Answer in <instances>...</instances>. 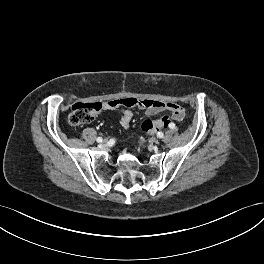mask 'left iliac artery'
Returning <instances> with one entry per match:
<instances>
[{
  "label": "left iliac artery",
  "mask_w": 264,
  "mask_h": 264,
  "mask_svg": "<svg viewBox=\"0 0 264 264\" xmlns=\"http://www.w3.org/2000/svg\"><path fill=\"white\" fill-rule=\"evenodd\" d=\"M169 127H170L171 129H175V124H174V123H171V124L169 125Z\"/></svg>",
  "instance_id": "1"
}]
</instances>
